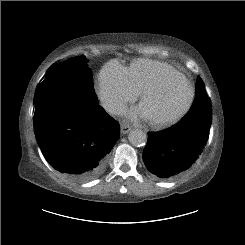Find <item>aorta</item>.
Segmentation results:
<instances>
[{
    "label": "aorta",
    "instance_id": "aorta-1",
    "mask_svg": "<svg viewBox=\"0 0 245 245\" xmlns=\"http://www.w3.org/2000/svg\"><path fill=\"white\" fill-rule=\"evenodd\" d=\"M128 139L133 146L140 147L146 144L147 135L142 130L135 129L129 133Z\"/></svg>",
    "mask_w": 245,
    "mask_h": 245
}]
</instances>
